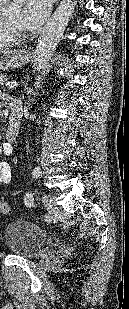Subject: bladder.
Instances as JSON below:
<instances>
[{
	"mask_svg": "<svg viewBox=\"0 0 129 309\" xmlns=\"http://www.w3.org/2000/svg\"><path fill=\"white\" fill-rule=\"evenodd\" d=\"M4 242L11 253L23 257H34L53 244L52 237L44 229L25 220L6 226Z\"/></svg>",
	"mask_w": 129,
	"mask_h": 309,
	"instance_id": "1",
	"label": "bladder"
}]
</instances>
